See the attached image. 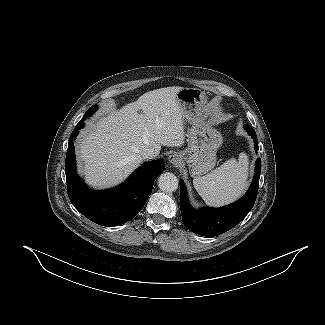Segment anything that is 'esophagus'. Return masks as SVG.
<instances>
[{"mask_svg":"<svg viewBox=\"0 0 325 325\" xmlns=\"http://www.w3.org/2000/svg\"><path fill=\"white\" fill-rule=\"evenodd\" d=\"M168 161L170 164H172L173 166H178L181 164V156L177 153H172L169 155L168 157Z\"/></svg>","mask_w":325,"mask_h":325,"instance_id":"1","label":"esophagus"}]
</instances>
